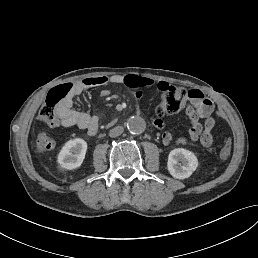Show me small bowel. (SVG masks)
<instances>
[{
    "label": "small bowel",
    "instance_id": "small-bowel-1",
    "mask_svg": "<svg viewBox=\"0 0 258 258\" xmlns=\"http://www.w3.org/2000/svg\"><path fill=\"white\" fill-rule=\"evenodd\" d=\"M109 84L125 85L129 88L137 90L136 97H142V89L155 85L160 91H164L169 84L165 81H154L151 78L138 75H120L114 74L110 76L100 75L85 78L75 83V95H79L86 89L103 87ZM213 111V103L206 98L198 89L188 91V102L185 106V112L188 116L190 127L187 137H179L176 144L185 145L190 142H198L202 147L208 148L213 143L212 130L215 125L214 119L211 117ZM60 123L64 127L76 126L79 129L87 130L89 134H95L98 130V117L90 115L86 112L77 111L73 108L72 100L67 101L58 110ZM205 119L204 126L200 120ZM154 125L162 128L163 122L159 119L153 121ZM164 146H169L172 142V135L164 132L162 135ZM55 146L54 140L42 132L38 136L37 150L40 153H47Z\"/></svg>",
    "mask_w": 258,
    "mask_h": 258
}]
</instances>
